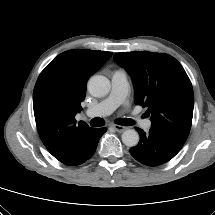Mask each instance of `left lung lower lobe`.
Masks as SVG:
<instances>
[{
    "instance_id": "obj_1",
    "label": "left lung lower lobe",
    "mask_w": 215,
    "mask_h": 215,
    "mask_svg": "<svg viewBox=\"0 0 215 215\" xmlns=\"http://www.w3.org/2000/svg\"><path fill=\"white\" fill-rule=\"evenodd\" d=\"M140 135L139 143L130 149L131 155L147 166H158L172 159L183 147L163 133L151 128L145 133L137 128Z\"/></svg>"
}]
</instances>
